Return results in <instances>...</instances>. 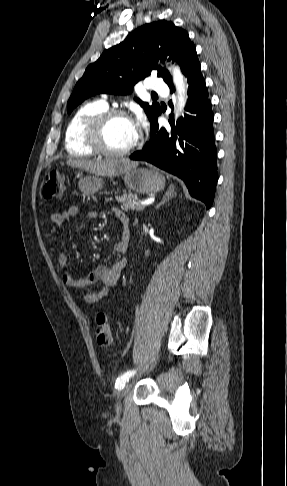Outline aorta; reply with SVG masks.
I'll list each match as a JSON object with an SVG mask.
<instances>
[{
	"label": "aorta",
	"instance_id": "762f6f07",
	"mask_svg": "<svg viewBox=\"0 0 287 486\" xmlns=\"http://www.w3.org/2000/svg\"><path fill=\"white\" fill-rule=\"evenodd\" d=\"M169 69L172 72L174 84L177 90V106L174 111L175 120H177L179 116L183 115V110L187 100V87L185 78L181 73L180 68L178 66L172 65L169 67Z\"/></svg>",
	"mask_w": 287,
	"mask_h": 486
}]
</instances>
